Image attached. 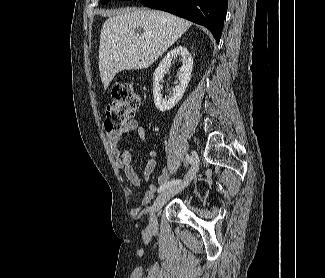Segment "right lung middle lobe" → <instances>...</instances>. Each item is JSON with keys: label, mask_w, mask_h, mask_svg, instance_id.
I'll return each instance as SVG.
<instances>
[{"label": "right lung middle lobe", "mask_w": 325, "mask_h": 278, "mask_svg": "<svg viewBox=\"0 0 325 278\" xmlns=\"http://www.w3.org/2000/svg\"><path fill=\"white\" fill-rule=\"evenodd\" d=\"M110 0H101V3L107 4Z\"/></svg>", "instance_id": "right-lung-middle-lobe-1"}]
</instances>
